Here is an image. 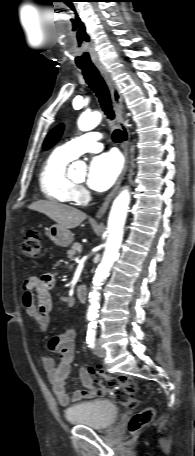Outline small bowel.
I'll use <instances>...</instances> for the list:
<instances>
[{
    "label": "small bowel",
    "mask_w": 195,
    "mask_h": 456,
    "mask_svg": "<svg viewBox=\"0 0 195 456\" xmlns=\"http://www.w3.org/2000/svg\"><path fill=\"white\" fill-rule=\"evenodd\" d=\"M55 284L51 274L28 277L23 285L22 303L28 316L34 321L39 331L45 332L49 328V315L52 309V300L49 291ZM76 331L66 328L49 339L46 344L47 354L42 357V364L48 375L58 403L67 406L71 402L103 396L105 391L94 386L90 371L81 368L79 378L84 389L75 390L71 396L66 392V378L70 372L75 355ZM49 353L58 355V363Z\"/></svg>",
    "instance_id": "small-bowel-1"
}]
</instances>
